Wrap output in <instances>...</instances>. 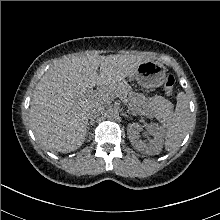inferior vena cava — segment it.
Masks as SVG:
<instances>
[{
    "label": "inferior vena cava",
    "mask_w": 220,
    "mask_h": 220,
    "mask_svg": "<svg viewBox=\"0 0 220 220\" xmlns=\"http://www.w3.org/2000/svg\"><path fill=\"white\" fill-rule=\"evenodd\" d=\"M105 111V107L104 105H98L95 106L91 109V111L89 112V118L90 119H95L96 117H98L99 115H101L102 113H104Z\"/></svg>",
    "instance_id": "inferior-vena-cava-1"
}]
</instances>
